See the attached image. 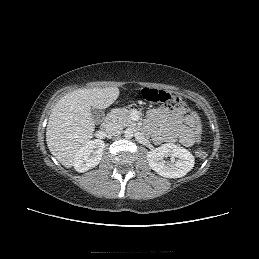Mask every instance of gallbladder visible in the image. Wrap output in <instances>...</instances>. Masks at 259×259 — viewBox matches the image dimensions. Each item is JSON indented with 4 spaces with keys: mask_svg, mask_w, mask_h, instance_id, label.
<instances>
[{
    "mask_svg": "<svg viewBox=\"0 0 259 259\" xmlns=\"http://www.w3.org/2000/svg\"><path fill=\"white\" fill-rule=\"evenodd\" d=\"M91 116L93 118L94 123L100 124L105 117V113L102 109L91 108Z\"/></svg>",
    "mask_w": 259,
    "mask_h": 259,
    "instance_id": "obj_1",
    "label": "gallbladder"
}]
</instances>
